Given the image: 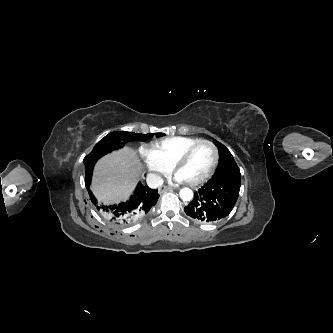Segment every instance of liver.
<instances>
[{
  "label": "liver",
  "instance_id": "liver-1",
  "mask_svg": "<svg viewBox=\"0 0 333 333\" xmlns=\"http://www.w3.org/2000/svg\"><path fill=\"white\" fill-rule=\"evenodd\" d=\"M142 174L137 152L129 147L102 157L96 164L92 191L98 201L118 203L129 197Z\"/></svg>",
  "mask_w": 333,
  "mask_h": 333
}]
</instances>
